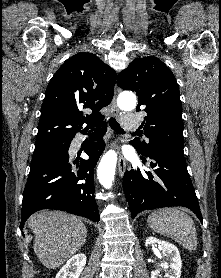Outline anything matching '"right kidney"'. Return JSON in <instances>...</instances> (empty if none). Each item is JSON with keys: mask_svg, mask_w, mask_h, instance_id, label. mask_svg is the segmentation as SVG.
Masks as SVG:
<instances>
[{"mask_svg": "<svg viewBox=\"0 0 221 278\" xmlns=\"http://www.w3.org/2000/svg\"><path fill=\"white\" fill-rule=\"evenodd\" d=\"M86 255L76 254L60 269L55 278H79L86 265Z\"/></svg>", "mask_w": 221, "mask_h": 278, "instance_id": "obj_1", "label": "right kidney"}]
</instances>
